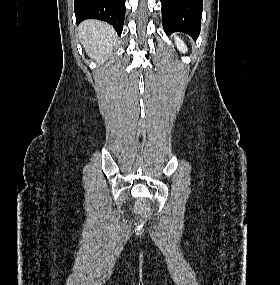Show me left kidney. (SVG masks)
Instances as JSON below:
<instances>
[{
	"label": "left kidney",
	"mask_w": 280,
	"mask_h": 285,
	"mask_svg": "<svg viewBox=\"0 0 280 285\" xmlns=\"http://www.w3.org/2000/svg\"><path fill=\"white\" fill-rule=\"evenodd\" d=\"M175 42H176V45L180 51H183V52L187 51L186 45L184 44V42L179 37L175 36Z\"/></svg>",
	"instance_id": "1"
}]
</instances>
